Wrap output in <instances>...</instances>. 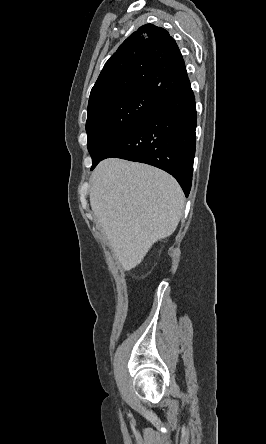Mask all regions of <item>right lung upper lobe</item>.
<instances>
[{
    "label": "right lung upper lobe",
    "mask_w": 266,
    "mask_h": 444,
    "mask_svg": "<svg viewBox=\"0 0 266 444\" xmlns=\"http://www.w3.org/2000/svg\"><path fill=\"white\" fill-rule=\"evenodd\" d=\"M189 86L175 40L165 29L146 24L133 32L106 62L91 90L88 109L127 92L144 91L163 100Z\"/></svg>",
    "instance_id": "right-lung-upper-lobe-1"
}]
</instances>
